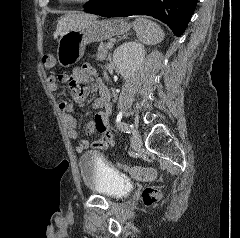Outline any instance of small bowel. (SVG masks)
<instances>
[{
  "label": "small bowel",
  "mask_w": 240,
  "mask_h": 238,
  "mask_svg": "<svg viewBox=\"0 0 240 238\" xmlns=\"http://www.w3.org/2000/svg\"><path fill=\"white\" fill-rule=\"evenodd\" d=\"M89 76L96 78L99 97L93 102V109L96 113L86 124L85 131L88 135L99 132L101 137L92 143L85 138L79 140L76 146V150L78 152H82L89 147L105 149L108 146L114 145V138L109 131V119L112 111L110 92L98 77L96 69L90 64H84L82 67L75 68L70 76L51 75L48 77V88L51 93H56L59 86L67 82L74 100L81 102L86 98L88 93ZM59 110L62 114V120L68 136L71 139H76L78 136L77 121L72 115L75 111L74 105L66 101H62L59 103Z\"/></svg>",
  "instance_id": "obj_1"
}]
</instances>
